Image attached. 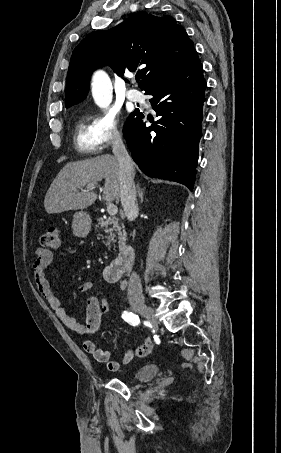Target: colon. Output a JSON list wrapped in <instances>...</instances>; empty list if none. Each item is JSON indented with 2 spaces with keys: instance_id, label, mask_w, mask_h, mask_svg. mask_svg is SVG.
Segmentation results:
<instances>
[{
  "instance_id": "1",
  "label": "colon",
  "mask_w": 281,
  "mask_h": 453,
  "mask_svg": "<svg viewBox=\"0 0 281 453\" xmlns=\"http://www.w3.org/2000/svg\"><path fill=\"white\" fill-rule=\"evenodd\" d=\"M60 230V226H48L46 232L40 238L39 245H44L47 251L57 249Z\"/></svg>"
}]
</instances>
